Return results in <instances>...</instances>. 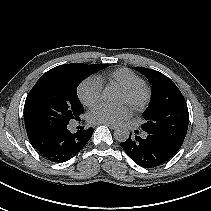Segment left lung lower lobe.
Instances as JSON below:
<instances>
[{
	"instance_id": "1",
	"label": "left lung lower lobe",
	"mask_w": 211,
	"mask_h": 211,
	"mask_svg": "<svg viewBox=\"0 0 211 211\" xmlns=\"http://www.w3.org/2000/svg\"><path fill=\"white\" fill-rule=\"evenodd\" d=\"M123 150L139 166L145 168L157 167L168 161L180 149L167 140L149 134L146 138L131 137L120 143Z\"/></svg>"
}]
</instances>
